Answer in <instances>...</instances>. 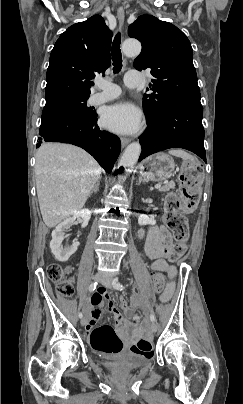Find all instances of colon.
<instances>
[{
	"label": "colon",
	"instance_id": "colon-1",
	"mask_svg": "<svg viewBox=\"0 0 243 404\" xmlns=\"http://www.w3.org/2000/svg\"><path fill=\"white\" fill-rule=\"evenodd\" d=\"M201 168L193 161H186L181 168L180 190L167 195L164 202L165 223L171 231L174 241L170 246V256L172 260L180 258L186 251L188 240V224L182 214V210L192 211L196 208L201 195ZM71 268L64 267L58 263H52L47 267V276L57 285V291L62 296L68 297L73 293L72 280L70 278ZM152 285L156 292H160L164 287V276L162 273L152 274ZM137 303L136 298L130 301L120 300L121 308L131 314ZM90 344L98 352L112 354L123 349V342L111 325H101L90 333ZM136 348L150 355L152 352V342L147 338H141Z\"/></svg>",
	"mask_w": 243,
	"mask_h": 404
}]
</instances>
